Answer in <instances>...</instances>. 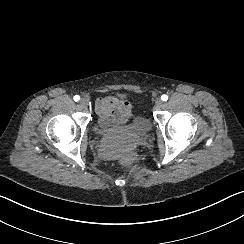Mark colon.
<instances>
[{"label": "colon", "mask_w": 244, "mask_h": 244, "mask_svg": "<svg viewBox=\"0 0 244 244\" xmlns=\"http://www.w3.org/2000/svg\"><path fill=\"white\" fill-rule=\"evenodd\" d=\"M117 162L121 166H127V165L130 164L131 159L127 155H121V156L118 157Z\"/></svg>", "instance_id": "colon-1"}]
</instances>
